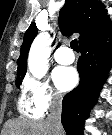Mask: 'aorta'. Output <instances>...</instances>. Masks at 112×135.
<instances>
[{"mask_svg":"<svg viewBox=\"0 0 112 135\" xmlns=\"http://www.w3.org/2000/svg\"><path fill=\"white\" fill-rule=\"evenodd\" d=\"M51 38L48 33H40L33 41L29 55L28 68L37 78H43L48 71V58L51 53Z\"/></svg>","mask_w":112,"mask_h":135,"instance_id":"aorta-1","label":"aorta"}]
</instances>
